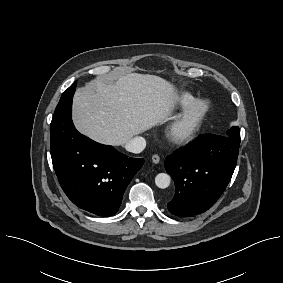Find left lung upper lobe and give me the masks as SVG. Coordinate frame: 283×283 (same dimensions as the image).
<instances>
[{
  "label": "left lung upper lobe",
  "mask_w": 283,
  "mask_h": 283,
  "mask_svg": "<svg viewBox=\"0 0 283 283\" xmlns=\"http://www.w3.org/2000/svg\"><path fill=\"white\" fill-rule=\"evenodd\" d=\"M227 136L240 141V129H239V127H236V126L232 127L227 132Z\"/></svg>",
  "instance_id": "1"
}]
</instances>
